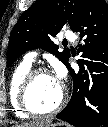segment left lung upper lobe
Masks as SVG:
<instances>
[{
  "label": "left lung upper lobe",
  "instance_id": "obj_1",
  "mask_svg": "<svg viewBox=\"0 0 108 127\" xmlns=\"http://www.w3.org/2000/svg\"><path fill=\"white\" fill-rule=\"evenodd\" d=\"M83 2L84 0H38L32 5L20 16L13 28L7 54L8 66L24 52L36 48L47 50L67 65L69 51H58V46L51 38L64 25H69L71 30L74 29ZM92 74L98 76L100 71Z\"/></svg>",
  "mask_w": 108,
  "mask_h": 127
}]
</instances>
